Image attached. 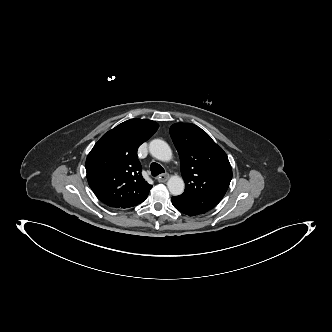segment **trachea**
Instances as JSON below:
<instances>
[{
	"instance_id": "trachea-1",
	"label": "trachea",
	"mask_w": 332,
	"mask_h": 332,
	"mask_svg": "<svg viewBox=\"0 0 332 332\" xmlns=\"http://www.w3.org/2000/svg\"><path fill=\"white\" fill-rule=\"evenodd\" d=\"M150 171H151L152 176H157V175L165 172L164 168L160 164L155 163V162L151 163Z\"/></svg>"
}]
</instances>
